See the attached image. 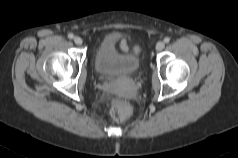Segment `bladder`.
<instances>
[{
  "label": "bladder",
  "instance_id": "31cf9c89",
  "mask_svg": "<svg viewBox=\"0 0 238 158\" xmlns=\"http://www.w3.org/2000/svg\"><path fill=\"white\" fill-rule=\"evenodd\" d=\"M120 36L116 33L105 35L98 43L94 65L98 73L106 77H116L135 73L140 67V57L135 51L123 52L119 49Z\"/></svg>",
  "mask_w": 238,
  "mask_h": 158
}]
</instances>
